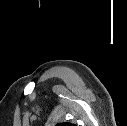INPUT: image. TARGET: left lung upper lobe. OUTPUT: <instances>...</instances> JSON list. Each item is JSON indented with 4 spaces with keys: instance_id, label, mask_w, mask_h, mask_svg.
<instances>
[{
    "instance_id": "5c2ea615",
    "label": "left lung upper lobe",
    "mask_w": 127,
    "mask_h": 126,
    "mask_svg": "<svg viewBox=\"0 0 127 126\" xmlns=\"http://www.w3.org/2000/svg\"><path fill=\"white\" fill-rule=\"evenodd\" d=\"M56 126H73V124L66 122V123H59Z\"/></svg>"
}]
</instances>
